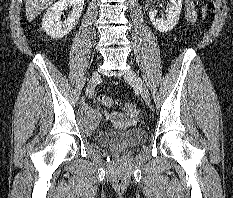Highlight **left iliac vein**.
Instances as JSON below:
<instances>
[{
  "label": "left iliac vein",
  "instance_id": "4c4485c4",
  "mask_svg": "<svg viewBox=\"0 0 233 198\" xmlns=\"http://www.w3.org/2000/svg\"><path fill=\"white\" fill-rule=\"evenodd\" d=\"M124 79L129 84L134 86L141 94V97L147 105H150V94L148 88L142 78L133 70H127L124 74Z\"/></svg>",
  "mask_w": 233,
  "mask_h": 198
}]
</instances>
